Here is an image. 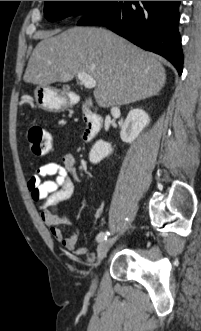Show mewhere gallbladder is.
I'll use <instances>...</instances> for the list:
<instances>
[{"label":"gallbladder","instance_id":"bac80fb5","mask_svg":"<svg viewBox=\"0 0 201 331\" xmlns=\"http://www.w3.org/2000/svg\"><path fill=\"white\" fill-rule=\"evenodd\" d=\"M62 89H63V93H64L65 95H67L68 92H69V87L66 86V85H64Z\"/></svg>","mask_w":201,"mask_h":331}]
</instances>
